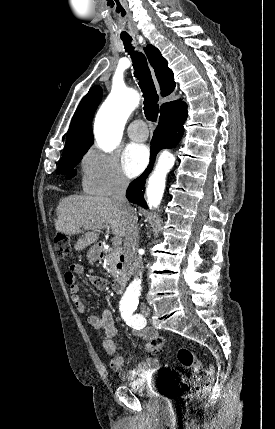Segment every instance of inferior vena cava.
Here are the masks:
<instances>
[{"label": "inferior vena cava", "mask_w": 275, "mask_h": 429, "mask_svg": "<svg viewBox=\"0 0 275 429\" xmlns=\"http://www.w3.org/2000/svg\"><path fill=\"white\" fill-rule=\"evenodd\" d=\"M128 184V180L124 176H121L114 187L112 200L117 203L126 218L124 252L127 266L133 276L141 278L143 274V262L141 256L137 254L139 242L138 218L126 199Z\"/></svg>", "instance_id": "602c4592"}]
</instances>
